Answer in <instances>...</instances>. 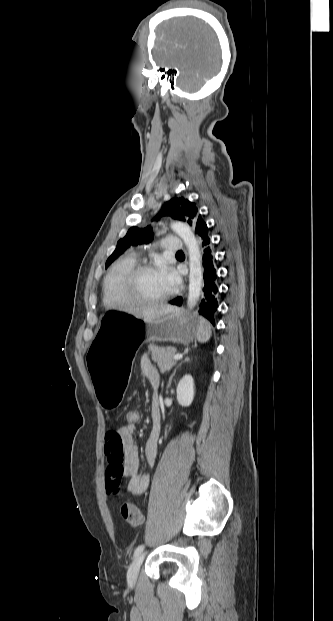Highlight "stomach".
I'll use <instances>...</instances> for the list:
<instances>
[{
	"label": "stomach",
	"mask_w": 333,
	"mask_h": 621,
	"mask_svg": "<svg viewBox=\"0 0 333 621\" xmlns=\"http://www.w3.org/2000/svg\"><path fill=\"white\" fill-rule=\"evenodd\" d=\"M198 318H183L177 309L161 318L145 321L115 310L101 316L97 335L88 346L91 380L104 411L119 409L128 386V372L141 344L154 341L189 343L198 332Z\"/></svg>",
	"instance_id": "0dacf381"
}]
</instances>
